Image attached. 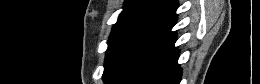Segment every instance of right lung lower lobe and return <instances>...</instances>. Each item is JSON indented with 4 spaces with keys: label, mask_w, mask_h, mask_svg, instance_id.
I'll use <instances>...</instances> for the list:
<instances>
[{
    "label": "right lung lower lobe",
    "mask_w": 260,
    "mask_h": 84,
    "mask_svg": "<svg viewBox=\"0 0 260 84\" xmlns=\"http://www.w3.org/2000/svg\"><path fill=\"white\" fill-rule=\"evenodd\" d=\"M176 37L131 84H179L182 71L178 65Z\"/></svg>",
    "instance_id": "1"
}]
</instances>
